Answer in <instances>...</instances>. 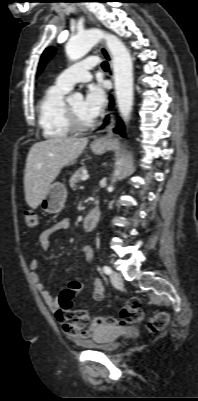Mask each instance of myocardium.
<instances>
[{
  "label": "myocardium",
  "mask_w": 198,
  "mask_h": 401,
  "mask_svg": "<svg viewBox=\"0 0 198 401\" xmlns=\"http://www.w3.org/2000/svg\"><path fill=\"white\" fill-rule=\"evenodd\" d=\"M65 117L68 126L72 131L75 132H85L93 129L97 122L95 120L89 123H83L79 120L78 116L74 112V110L70 107V105L66 104L65 106Z\"/></svg>",
  "instance_id": "1"
}]
</instances>
